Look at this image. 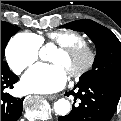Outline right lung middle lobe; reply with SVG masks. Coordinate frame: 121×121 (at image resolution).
Returning a JSON list of instances; mask_svg holds the SVG:
<instances>
[{
  "label": "right lung middle lobe",
  "mask_w": 121,
  "mask_h": 121,
  "mask_svg": "<svg viewBox=\"0 0 121 121\" xmlns=\"http://www.w3.org/2000/svg\"><path fill=\"white\" fill-rule=\"evenodd\" d=\"M19 30V27L13 26L10 23L1 21V65L7 64L3 61L5 47L9 39Z\"/></svg>",
  "instance_id": "right-lung-middle-lobe-1"
}]
</instances>
